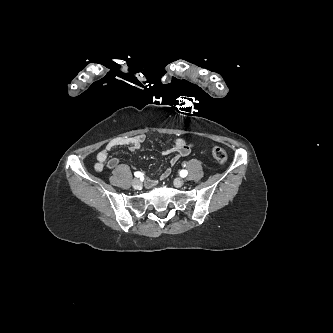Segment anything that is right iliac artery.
<instances>
[{
    "instance_id": "right-iliac-artery-1",
    "label": "right iliac artery",
    "mask_w": 333,
    "mask_h": 333,
    "mask_svg": "<svg viewBox=\"0 0 333 333\" xmlns=\"http://www.w3.org/2000/svg\"><path fill=\"white\" fill-rule=\"evenodd\" d=\"M134 175H135V177L139 178V177H142L143 174L141 172H135Z\"/></svg>"
}]
</instances>
